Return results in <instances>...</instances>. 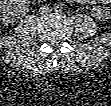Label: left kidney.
<instances>
[{"mask_svg": "<svg viewBox=\"0 0 111 106\" xmlns=\"http://www.w3.org/2000/svg\"><path fill=\"white\" fill-rule=\"evenodd\" d=\"M96 16L98 18H103V14H102V12L99 9L97 10Z\"/></svg>", "mask_w": 111, "mask_h": 106, "instance_id": "obj_1", "label": "left kidney"}]
</instances>
